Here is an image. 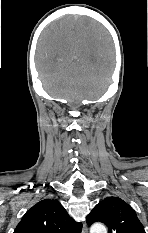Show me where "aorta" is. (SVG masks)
Instances as JSON below:
<instances>
[{"mask_svg":"<svg viewBox=\"0 0 148 233\" xmlns=\"http://www.w3.org/2000/svg\"><path fill=\"white\" fill-rule=\"evenodd\" d=\"M90 233H107L105 225L101 223H95L90 228Z\"/></svg>","mask_w":148,"mask_h":233,"instance_id":"aorta-1","label":"aorta"}]
</instances>
